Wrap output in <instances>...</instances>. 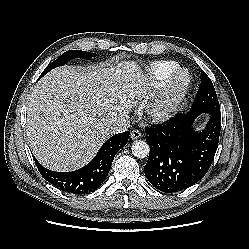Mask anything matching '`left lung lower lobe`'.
Masks as SVG:
<instances>
[{"instance_id": "left-lung-lower-lobe-1", "label": "left lung lower lobe", "mask_w": 249, "mask_h": 249, "mask_svg": "<svg viewBox=\"0 0 249 249\" xmlns=\"http://www.w3.org/2000/svg\"><path fill=\"white\" fill-rule=\"evenodd\" d=\"M202 113L210 115L202 132L192 128ZM221 130L220 111L178 114L158 127L145 129L150 154L144 167L148 181L158 190L182 191L204 177L217 150Z\"/></svg>"}]
</instances>
